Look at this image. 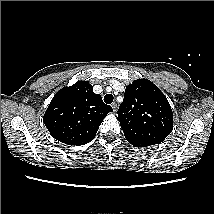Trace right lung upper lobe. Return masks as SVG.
<instances>
[{
	"label": "right lung upper lobe",
	"instance_id": "cb5924a9",
	"mask_svg": "<svg viewBox=\"0 0 214 214\" xmlns=\"http://www.w3.org/2000/svg\"><path fill=\"white\" fill-rule=\"evenodd\" d=\"M112 111L87 81H78L54 95L43 121L56 140L78 146L94 139L103 119Z\"/></svg>",
	"mask_w": 214,
	"mask_h": 214
}]
</instances>
